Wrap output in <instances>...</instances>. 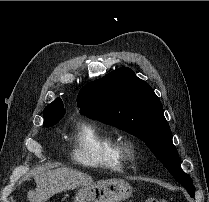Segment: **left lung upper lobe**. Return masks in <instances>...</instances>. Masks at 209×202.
I'll return each instance as SVG.
<instances>
[{
    "instance_id": "left-lung-upper-lobe-1",
    "label": "left lung upper lobe",
    "mask_w": 209,
    "mask_h": 202,
    "mask_svg": "<svg viewBox=\"0 0 209 202\" xmlns=\"http://www.w3.org/2000/svg\"><path fill=\"white\" fill-rule=\"evenodd\" d=\"M80 113L116 126L144 141L175 179L194 197L190 176L181 169L163 106L150 85L128 67L85 85L77 97Z\"/></svg>"
}]
</instances>
